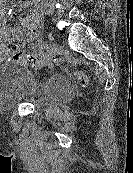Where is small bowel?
<instances>
[{"label":"small bowel","instance_id":"1","mask_svg":"<svg viewBox=\"0 0 133 173\" xmlns=\"http://www.w3.org/2000/svg\"><path fill=\"white\" fill-rule=\"evenodd\" d=\"M23 6H31L27 17L22 19L20 27H7L3 11L0 9V59L5 56V47L13 38H21L26 41H34L40 34V17L37 9V0H22ZM34 61L38 60L36 54H32ZM33 61V62H34Z\"/></svg>","mask_w":133,"mask_h":173}]
</instances>
